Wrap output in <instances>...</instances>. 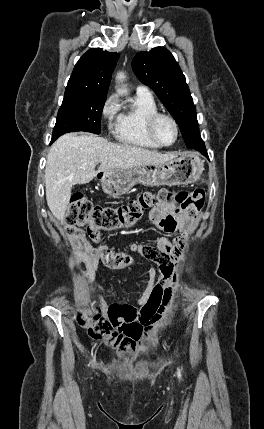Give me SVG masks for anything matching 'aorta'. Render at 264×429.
<instances>
[{
	"mask_svg": "<svg viewBox=\"0 0 264 429\" xmlns=\"http://www.w3.org/2000/svg\"><path fill=\"white\" fill-rule=\"evenodd\" d=\"M125 78V76H124V74L123 73H119L118 75H117V79L119 80V81H121L122 79H124ZM118 92H120V93H122V91H120V90H118Z\"/></svg>",
	"mask_w": 264,
	"mask_h": 429,
	"instance_id": "aorta-1",
	"label": "aorta"
}]
</instances>
